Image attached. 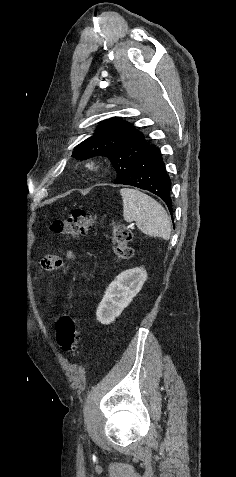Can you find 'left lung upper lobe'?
I'll use <instances>...</instances> for the list:
<instances>
[{
  "instance_id": "5c2ea615",
  "label": "left lung upper lobe",
  "mask_w": 236,
  "mask_h": 477,
  "mask_svg": "<svg viewBox=\"0 0 236 477\" xmlns=\"http://www.w3.org/2000/svg\"><path fill=\"white\" fill-rule=\"evenodd\" d=\"M119 119L100 122L94 135L77 145L72 155L78 160L99 155L109 158L117 173L115 184L128 176L133 162L150 146L140 131Z\"/></svg>"
}]
</instances>
